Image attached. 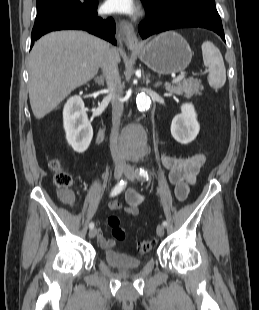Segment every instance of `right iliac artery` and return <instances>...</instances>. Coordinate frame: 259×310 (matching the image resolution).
<instances>
[{"label": "right iliac artery", "instance_id": "obj_1", "mask_svg": "<svg viewBox=\"0 0 259 310\" xmlns=\"http://www.w3.org/2000/svg\"><path fill=\"white\" fill-rule=\"evenodd\" d=\"M126 186V181L125 180H121L119 183L116 184V186L113 188L112 192H111V196H116L118 195ZM89 228L92 229L94 228V223L91 222L89 224Z\"/></svg>", "mask_w": 259, "mask_h": 310}]
</instances>
